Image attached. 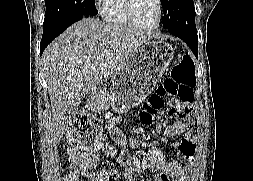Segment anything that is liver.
<instances>
[{
  "label": "liver",
  "instance_id": "1",
  "mask_svg": "<svg viewBox=\"0 0 253 181\" xmlns=\"http://www.w3.org/2000/svg\"><path fill=\"white\" fill-rule=\"evenodd\" d=\"M155 36L141 29L85 18L74 23L44 51L43 71L51 100L53 142L91 87L113 78L133 53ZM114 56L107 58L106 53Z\"/></svg>",
  "mask_w": 253,
  "mask_h": 181
}]
</instances>
